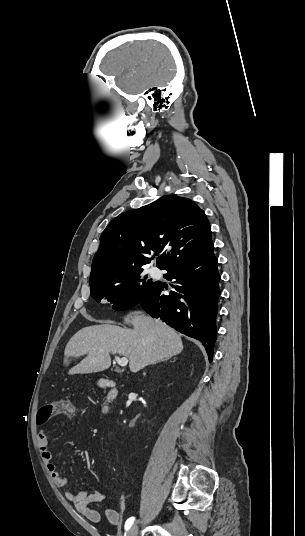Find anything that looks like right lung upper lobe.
Segmentation results:
<instances>
[{"label":"right lung upper lobe","mask_w":305,"mask_h":536,"mask_svg":"<svg viewBox=\"0 0 305 536\" xmlns=\"http://www.w3.org/2000/svg\"><path fill=\"white\" fill-rule=\"evenodd\" d=\"M211 228L202 209L192 200L166 195L113 219L100 237L89 282L142 269L158 255L157 267L196 255L211 246Z\"/></svg>","instance_id":"cb5924a9"}]
</instances>
